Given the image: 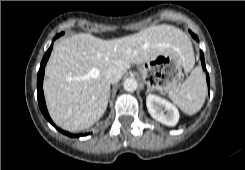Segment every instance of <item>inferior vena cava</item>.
<instances>
[{
	"label": "inferior vena cava",
	"mask_w": 245,
	"mask_h": 170,
	"mask_svg": "<svg viewBox=\"0 0 245 170\" xmlns=\"http://www.w3.org/2000/svg\"><path fill=\"white\" fill-rule=\"evenodd\" d=\"M105 78L107 79V81L109 83H115L118 82L121 77L122 74L121 72L116 68V67H110L105 71Z\"/></svg>",
	"instance_id": "inferior-vena-cava-1"
}]
</instances>
